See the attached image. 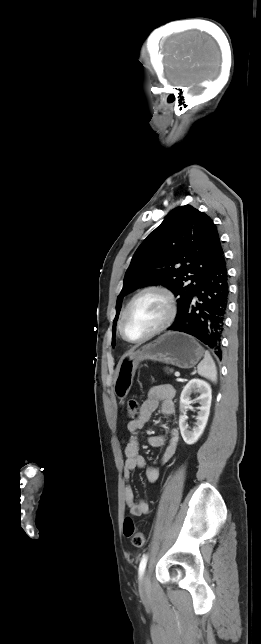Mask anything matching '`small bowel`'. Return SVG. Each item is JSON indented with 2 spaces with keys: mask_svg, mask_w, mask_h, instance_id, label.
Listing matches in <instances>:
<instances>
[{
  "mask_svg": "<svg viewBox=\"0 0 261 644\" xmlns=\"http://www.w3.org/2000/svg\"><path fill=\"white\" fill-rule=\"evenodd\" d=\"M175 389L169 384H162L152 387L147 397L140 407V414L137 419L131 420L127 424V429L131 434L130 440L127 443L125 453V463L123 468V476L126 481L130 480L131 473L138 468L146 466L145 459L139 453L138 433L143 428L146 422L149 421L152 414L160 408L161 413L165 417H171L175 412L174 405ZM179 442V434L176 428H171L167 436L164 435H150L148 443L150 446L159 448L165 446L161 462H168L176 453ZM146 475L149 482H155L158 479L159 473L155 467H147ZM124 501L128 512L132 516H142L149 512V504L145 500H135L134 491L131 485L127 484L124 490Z\"/></svg>",
  "mask_w": 261,
  "mask_h": 644,
  "instance_id": "c3829d8e",
  "label": "small bowel"
}]
</instances>
